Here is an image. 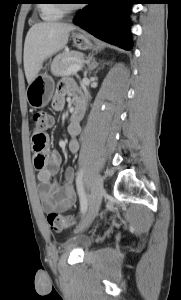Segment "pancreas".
Here are the masks:
<instances>
[{
    "mask_svg": "<svg viewBox=\"0 0 181 300\" xmlns=\"http://www.w3.org/2000/svg\"><path fill=\"white\" fill-rule=\"evenodd\" d=\"M84 55L78 51L63 52L57 55L52 64L51 72L55 76L67 75V70L73 64H82Z\"/></svg>",
    "mask_w": 181,
    "mask_h": 300,
    "instance_id": "pancreas-1",
    "label": "pancreas"
}]
</instances>
